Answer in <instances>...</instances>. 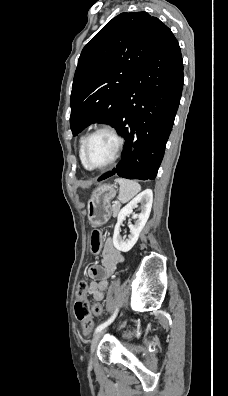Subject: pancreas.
Segmentation results:
<instances>
[{
  "instance_id": "pancreas-1",
  "label": "pancreas",
  "mask_w": 228,
  "mask_h": 396,
  "mask_svg": "<svg viewBox=\"0 0 228 396\" xmlns=\"http://www.w3.org/2000/svg\"><path fill=\"white\" fill-rule=\"evenodd\" d=\"M119 209H120V204L119 203L113 204L112 211H113V215L114 216L118 213Z\"/></svg>"
}]
</instances>
